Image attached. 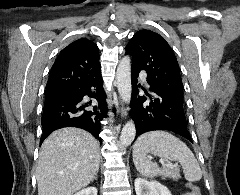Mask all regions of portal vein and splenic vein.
<instances>
[{"label": "portal vein and splenic vein", "mask_w": 240, "mask_h": 195, "mask_svg": "<svg viewBox=\"0 0 240 195\" xmlns=\"http://www.w3.org/2000/svg\"><path fill=\"white\" fill-rule=\"evenodd\" d=\"M160 163H163V165H171L169 161H165V159H159Z\"/></svg>", "instance_id": "portal-vein-and-splenic-vein-1"}]
</instances>
